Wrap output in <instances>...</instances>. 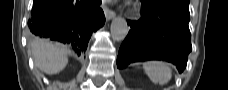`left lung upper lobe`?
Instances as JSON below:
<instances>
[{
	"mask_svg": "<svg viewBox=\"0 0 228 90\" xmlns=\"http://www.w3.org/2000/svg\"><path fill=\"white\" fill-rule=\"evenodd\" d=\"M158 1H168L169 6L174 10H182L184 12L189 11V0H158Z\"/></svg>",
	"mask_w": 228,
	"mask_h": 90,
	"instance_id": "5c2ea615",
	"label": "left lung upper lobe"
}]
</instances>
